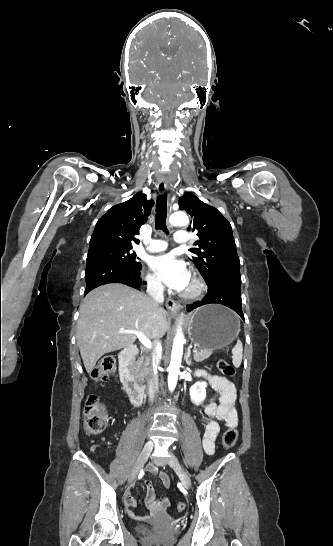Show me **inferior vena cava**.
Segmentation results:
<instances>
[{
	"label": "inferior vena cava",
	"instance_id": "602c4592",
	"mask_svg": "<svg viewBox=\"0 0 333 546\" xmlns=\"http://www.w3.org/2000/svg\"><path fill=\"white\" fill-rule=\"evenodd\" d=\"M147 293L156 302L157 305L164 302L163 285L160 280H157V279L150 280L147 285ZM154 343L156 348L159 349L161 346L159 339H154ZM155 368L156 366L153 368L152 372L150 373L148 382H147L148 393H149L151 402H153L155 394L158 392V377L154 372Z\"/></svg>",
	"mask_w": 333,
	"mask_h": 546
}]
</instances>
